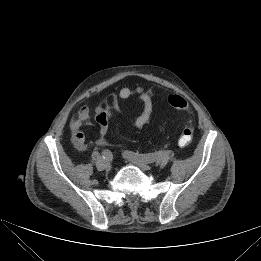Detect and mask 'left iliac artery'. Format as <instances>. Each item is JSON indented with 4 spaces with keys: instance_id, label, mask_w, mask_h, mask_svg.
Instances as JSON below:
<instances>
[{
    "instance_id": "44dca946",
    "label": "left iliac artery",
    "mask_w": 261,
    "mask_h": 261,
    "mask_svg": "<svg viewBox=\"0 0 261 261\" xmlns=\"http://www.w3.org/2000/svg\"><path fill=\"white\" fill-rule=\"evenodd\" d=\"M127 154L132 157L140 158L144 161H147L148 163H152L157 159V154H155V153L139 154V153H134V152L128 151Z\"/></svg>"
}]
</instances>
